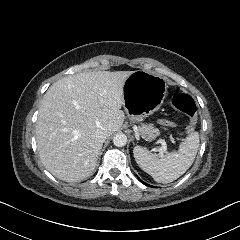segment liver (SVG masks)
I'll return each instance as SVG.
<instances>
[{"label":"liver","mask_w":240,"mask_h":240,"mask_svg":"<svg viewBox=\"0 0 240 240\" xmlns=\"http://www.w3.org/2000/svg\"><path fill=\"white\" fill-rule=\"evenodd\" d=\"M133 71L81 72L59 79L44 94L36 122L42 164L56 178L78 182L92 174L103 142L124 122V85Z\"/></svg>","instance_id":"liver-1"}]
</instances>
